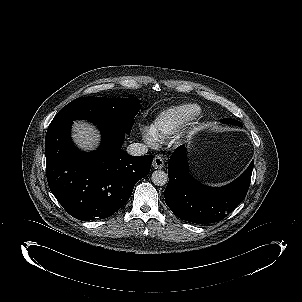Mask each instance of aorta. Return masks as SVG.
<instances>
[{
  "label": "aorta",
  "instance_id": "obj_1",
  "mask_svg": "<svg viewBox=\"0 0 302 302\" xmlns=\"http://www.w3.org/2000/svg\"><path fill=\"white\" fill-rule=\"evenodd\" d=\"M152 182L156 186H164L168 182V174L162 170H156L151 176Z\"/></svg>",
  "mask_w": 302,
  "mask_h": 302
}]
</instances>
